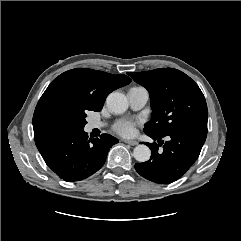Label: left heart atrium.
<instances>
[{
	"instance_id": "left-heart-atrium-1",
	"label": "left heart atrium",
	"mask_w": 241,
	"mask_h": 241,
	"mask_svg": "<svg viewBox=\"0 0 241 241\" xmlns=\"http://www.w3.org/2000/svg\"><path fill=\"white\" fill-rule=\"evenodd\" d=\"M135 122L131 120H121L114 126V131L122 136H131L134 133Z\"/></svg>"
}]
</instances>
